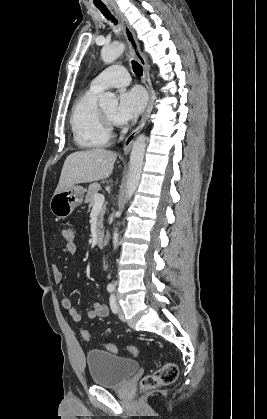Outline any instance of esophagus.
Returning a JSON list of instances; mask_svg holds the SVG:
<instances>
[{
  "mask_svg": "<svg viewBox=\"0 0 267 419\" xmlns=\"http://www.w3.org/2000/svg\"><path fill=\"white\" fill-rule=\"evenodd\" d=\"M114 10H115L118 18L120 19V22H121V25H122V28H123V31H124V35L127 39L128 44L131 47L133 55L137 58L138 62L140 63V65L143 68L144 83H145V86H146V88L148 89V92H149V103H148V106H147V108H146L138 126L125 139L124 146H123V155L126 156L130 152V149H131V146L134 142L135 137L142 130V128L144 127V125L146 123L147 115H148V112H149V110L151 108V104H152V84H151V80H150L149 66H148V64L145 60L144 55L142 54V52L140 50V46H139V43L136 39L134 30L132 29V27L128 23L125 16L117 8H114Z\"/></svg>",
  "mask_w": 267,
  "mask_h": 419,
  "instance_id": "esophagus-1",
  "label": "esophagus"
}]
</instances>
